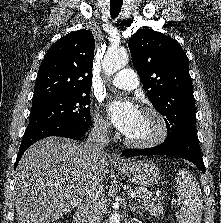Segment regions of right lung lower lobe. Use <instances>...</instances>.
Instances as JSON below:
<instances>
[{
  "instance_id": "98d812e1",
  "label": "right lung lower lobe",
  "mask_w": 221,
  "mask_h": 223,
  "mask_svg": "<svg viewBox=\"0 0 221 223\" xmlns=\"http://www.w3.org/2000/svg\"><path fill=\"white\" fill-rule=\"evenodd\" d=\"M88 128L89 126H75L62 122H54L44 124L32 129H26L14 165L15 168L17 167V164L25 150L36 141L48 136H61L79 140L87 132Z\"/></svg>"
}]
</instances>
